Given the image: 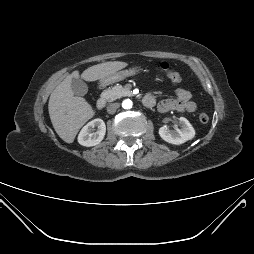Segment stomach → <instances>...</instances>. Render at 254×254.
<instances>
[{
    "label": "stomach",
    "mask_w": 254,
    "mask_h": 254,
    "mask_svg": "<svg viewBox=\"0 0 254 254\" xmlns=\"http://www.w3.org/2000/svg\"><path fill=\"white\" fill-rule=\"evenodd\" d=\"M140 72V68L137 66L129 67L125 70L117 71L103 79H101L102 85H109L114 82L124 80L127 77L134 76Z\"/></svg>",
    "instance_id": "stomach-1"
}]
</instances>
